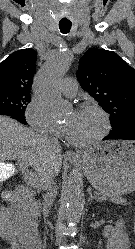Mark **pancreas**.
<instances>
[{
  "mask_svg": "<svg viewBox=\"0 0 135 249\" xmlns=\"http://www.w3.org/2000/svg\"><path fill=\"white\" fill-rule=\"evenodd\" d=\"M107 197L110 199V201H112L115 204H122V205L127 204V201L120 196L108 194ZM27 214L30 216V218H36L39 214V204L37 202L30 204L27 207Z\"/></svg>",
  "mask_w": 135,
  "mask_h": 249,
  "instance_id": "obj_1",
  "label": "pancreas"
}]
</instances>
